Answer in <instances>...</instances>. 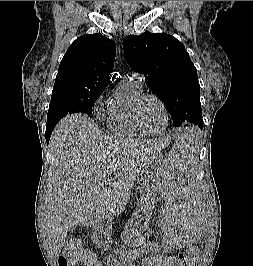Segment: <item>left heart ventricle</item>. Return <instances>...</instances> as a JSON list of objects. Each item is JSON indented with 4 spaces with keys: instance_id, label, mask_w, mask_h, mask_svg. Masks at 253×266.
Here are the masks:
<instances>
[{
    "instance_id": "left-heart-ventricle-1",
    "label": "left heart ventricle",
    "mask_w": 253,
    "mask_h": 266,
    "mask_svg": "<svg viewBox=\"0 0 253 266\" xmlns=\"http://www.w3.org/2000/svg\"><path fill=\"white\" fill-rule=\"evenodd\" d=\"M140 119L143 126L153 132L161 131L166 123L160 104L154 99H146L140 107Z\"/></svg>"
}]
</instances>
